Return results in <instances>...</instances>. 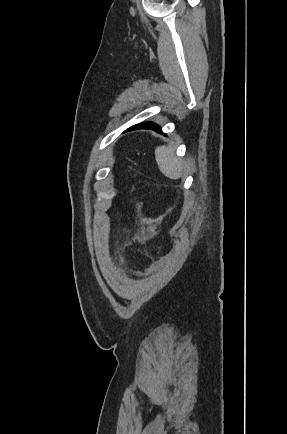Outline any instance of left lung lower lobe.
<instances>
[{
    "label": "left lung lower lobe",
    "mask_w": 287,
    "mask_h": 434,
    "mask_svg": "<svg viewBox=\"0 0 287 434\" xmlns=\"http://www.w3.org/2000/svg\"><path fill=\"white\" fill-rule=\"evenodd\" d=\"M135 129H151V130H155L157 132L162 133L161 127H159L157 124L152 123V122H145V123H141V124H136V125L128 128L126 131L135 130Z\"/></svg>",
    "instance_id": "1"
}]
</instances>
